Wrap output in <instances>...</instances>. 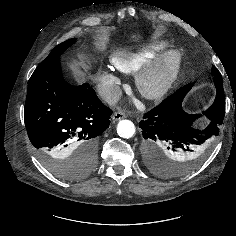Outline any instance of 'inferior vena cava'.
<instances>
[{
  "label": "inferior vena cava",
  "instance_id": "inferior-vena-cava-1",
  "mask_svg": "<svg viewBox=\"0 0 236 236\" xmlns=\"http://www.w3.org/2000/svg\"><path fill=\"white\" fill-rule=\"evenodd\" d=\"M122 96V90L119 86H113L102 93V99L109 105L117 103Z\"/></svg>",
  "mask_w": 236,
  "mask_h": 236
}]
</instances>
